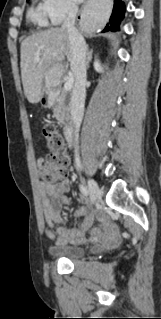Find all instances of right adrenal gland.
Segmentation results:
<instances>
[{"mask_svg":"<svg viewBox=\"0 0 161 319\" xmlns=\"http://www.w3.org/2000/svg\"><path fill=\"white\" fill-rule=\"evenodd\" d=\"M92 54H93V50H89L88 46H87V68H89V64L92 60Z\"/></svg>","mask_w":161,"mask_h":319,"instance_id":"2a0ac1e0","label":"right adrenal gland"}]
</instances>
